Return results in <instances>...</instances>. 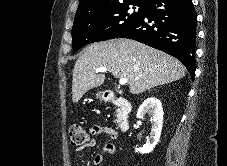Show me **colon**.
I'll return each instance as SVG.
<instances>
[{"label":"colon","mask_w":227,"mask_h":166,"mask_svg":"<svg viewBox=\"0 0 227 166\" xmlns=\"http://www.w3.org/2000/svg\"><path fill=\"white\" fill-rule=\"evenodd\" d=\"M69 138L73 146L88 145L91 141L89 133L78 125H73L69 128Z\"/></svg>","instance_id":"1"}]
</instances>
